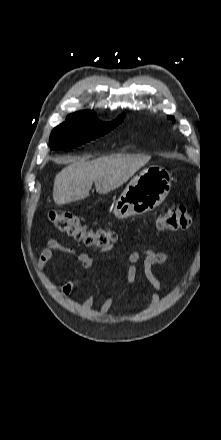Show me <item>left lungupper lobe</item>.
I'll return each instance as SVG.
<instances>
[{
  "label": "left lung upper lobe",
  "instance_id": "5c2ea615",
  "mask_svg": "<svg viewBox=\"0 0 221 440\" xmlns=\"http://www.w3.org/2000/svg\"><path fill=\"white\" fill-rule=\"evenodd\" d=\"M169 118H170V119H173V117H172V116H169Z\"/></svg>",
  "mask_w": 221,
  "mask_h": 440
}]
</instances>
